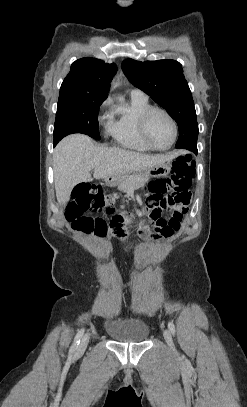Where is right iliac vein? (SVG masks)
<instances>
[{
	"label": "right iliac vein",
	"instance_id": "63e3f726",
	"mask_svg": "<svg viewBox=\"0 0 247 407\" xmlns=\"http://www.w3.org/2000/svg\"><path fill=\"white\" fill-rule=\"evenodd\" d=\"M89 339H90V335H89V334H86V335L82 338V341H81V343H80V345H79V347H78V349H77V353H78V354H83V353H84V351H85V349H86V347H87V345H88Z\"/></svg>",
	"mask_w": 247,
	"mask_h": 407
}]
</instances>
